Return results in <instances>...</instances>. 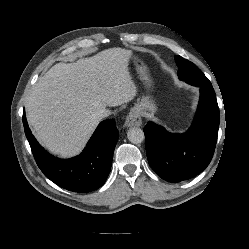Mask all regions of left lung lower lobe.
Returning <instances> with one entry per match:
<instances>
[{
    "label": "left lung lower lobe",
    "mask_w": 249,
    "mask_h": 249,
    "mask_svg": "<svg viewBox=\"0 0 249 249\" xmlns=\"http://www.w3.org/2000/svg\"><path fill=\"white\" fill-rule=\"evenodd\" d=\"M200 100L192 126L172 134L149 121L144 128L146 153L151 168L164 180L175 183L201 173L210 163L218 136L219 107L213 87L205 77L194 81Z\"/></svg>",
    "instance_id": "0a47b994"
}]
</instances>
